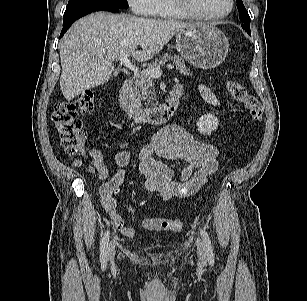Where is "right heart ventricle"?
I'll return each mask as SVG.
<instances>
[{"label":"right heart ventricle","instance_id":"right-heart-ventricle-1","mask_svg":"<svg viewBox=\"0 0 307 301\" xmlns=\"http://www.w3.org/2000/svg\"><path fill=\"white\" fill-rule=\"evenodd\" d=\"M161 19H183L185 16L178 13L168 0H159V12L156 15Z\"/></svg>","mask_w":307,"mask_h":301}]
</instances>
